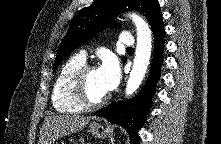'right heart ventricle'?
<instances>
[{"mask_svg":"<svg viewBox=\"0 0 221 144\" xmlns=\"http://www.w3.org/2000/svg\"><path fill=\"white\" fill-rule=\"evenodd\" d=\"M86 64L80 55L69 58L60 68L52 90V104L60 113H78L85 107L74 97L73 79L77 72Z\"/></svg>","mask_w":221,"mask_h":144,"instance_id":"right-heart-ventricle-1","label":"right heart ventricle"}]
</instances>
